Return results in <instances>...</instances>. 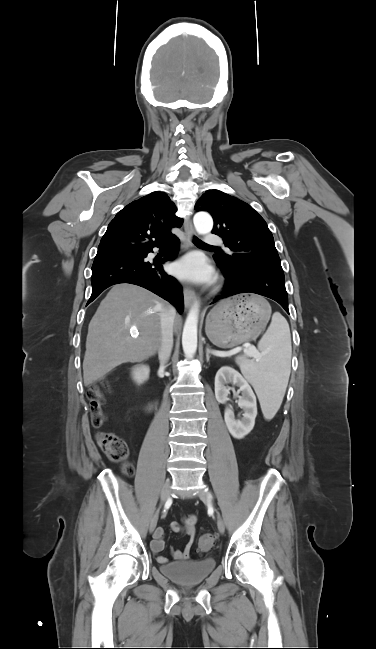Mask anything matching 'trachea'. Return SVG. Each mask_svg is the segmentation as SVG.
Masks as SVG:
<instances>
[{
	"label": "trachea",
	"mask_w": 376,
	"mask_h": 649,
	"mask_svg": "<svg viewBox=\"0 0 376 649\" xmlns=\"http://www.w3.org/2000/svg\"><path fill=\"white\" fill-rule=\"evenodd\" d=\"M194 244H195L196 246H203V247L217 248V247L209 246V245L205 244L204 242H202V241H201L200 239H198V238H194Z\"/></svg>",
	"instance_id": "obj_1"
}]
</instances>
